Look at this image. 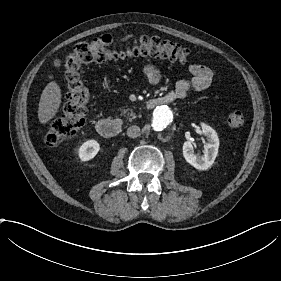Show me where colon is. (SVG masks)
<instances>
[{
	"mask_svg": "<svg viewBox=\"0 0 281 281\" xmlns=\"http://www.w3.org/2000/svg\"><path fill=\"white\" fill-rule=\"evenodd\" d=\"M151 55L153 58H165L172 61L188 62L189 51L173 42L156 37L138 38L115 46L110 39H98L80 44L64 63V79L67 95L62 107L53 117L42 137L46 148H53L58 143L73 138L86 126L88 91L80 75V70L88 64L119 58L125 55ZM227 121L232 127H242L245 117L242 112L232 110L227 114Z\"/></svg>",
	"mask_w": 281,
	"mask_h": 281,
	"instance_id": "5ec220e1",
	"label": "colon"
}]
</instances>
